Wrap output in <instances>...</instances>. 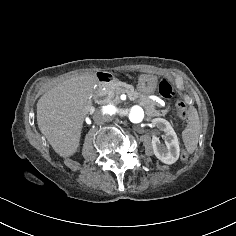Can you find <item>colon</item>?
<instances>
[{"instance_id":"5ec220e1","label":"colon","mask_w":236,"mask_h":236,"mask_svg":"<svg viewBox=\"0 0 236 236\" xmlns=\"http://www.w3.org/2000/svg\"><path fill=\"white\" fill-rule=\"evenodd\" d=\"M160 95L167 99L173 100L175 97V89L168 78H164L159 84ZM186 114V106L183 102H177L173 112V120L178 121Z\"/></svg>"}]
</instances>
